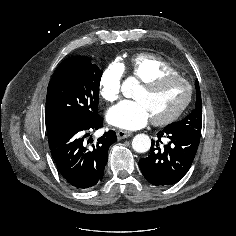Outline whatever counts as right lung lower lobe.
<instances>
[{
  "mask_svg": "<svg viewBox=\"0 0 236 236\" xmlns=\"http://www.w3.org/2000/svg\"><path fill=\"white\" fill-rule=\"evenodd\" d=\"M102 126L103 119L97 114L87 121L63 125L48 134L51 154L60 174L76 189H90L103 178L108 149L117 141L116 133L109 130L95 142L92 138L87 140L91 131Z\"/></svg>",
  "mask_w": 236,
  "mask_h": 236,
  "instance_id": "obj_1",
  "label": "right lung lower lobe"
}]
</instances>
